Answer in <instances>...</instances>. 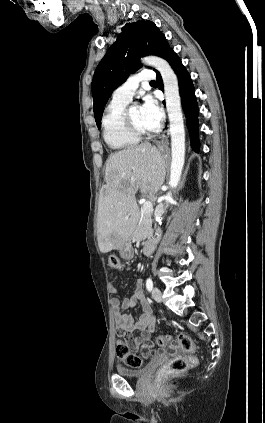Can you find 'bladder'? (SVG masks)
I'll use <instances>...</instances> for the list:
<instances>
[{
    "label": "bladder",
    "instance_id": "obj_1",
    "mask_svg": "<svg viewBox=\"0 0 265 423\" xmlns=\"http://www.w3.org/2000/svg\"><path fill=\"white\" fill-rule=\"evenodd\" d=\"M117 373L124 377H141L146 372V367L129 369L122 366L117 367Z\"/></svg>",
    "mask_w": 265,
    "mask_h": 423
}]
</instances>
